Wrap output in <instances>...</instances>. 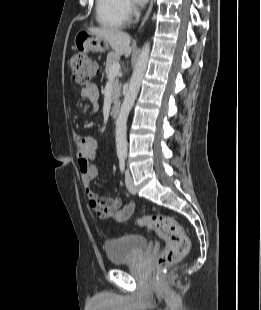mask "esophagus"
Returning a JSON list of instances; mask_svg holds the SVG:
<instances>
[{
  "label": "esophagus",
  "instance_id": "obj_1",
  "mask_svg": "<svg viewBox=\"0 0 261 310\" xmlns=\"http://www.w3.org/2000/svg\"><path fill=\"white\" fill-rule=\"evenodd\" d=\"M152 7H153V0L151 1L150 5H149V8L141 22V25H140V29L144 26V24L146 23V21L148 20L149 16H150V13L152 11Z\"/></svg>",
  "mask_w": 261,
  "mask_h": 310
}]
</instances>
